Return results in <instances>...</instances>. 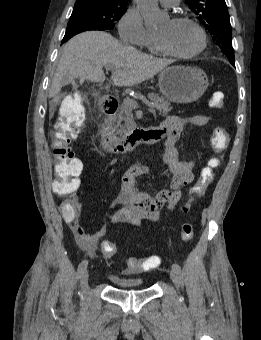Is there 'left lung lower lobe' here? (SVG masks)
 Masks as SVG:
<instances>
[{"mask_svg": "<svg viewBox=\"0 0 261 340\" xmlns=\"http://www.w3.org/2000/svg\"><path fill=\"white\" fill-rule=\"evenodd\" d=\"M230 63H231L233 66H235V63H234V61H230Z\"/></svg>", "mask_w": 261, "mask_h": 340, "instance_id": "obj_1", "label": "left lung lower lobe"}]
</instances>
